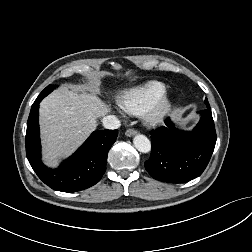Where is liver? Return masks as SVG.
<instances>
[{
  "label": "liver",
  "instance_id": "obj_1",
  "mask_svg": "<svg viewBox=\"0 0 252 252\" xmlns=\"http://www.w3.org/2000/svg\"><path fill=\"white\" fill-rule=\"evenodd\" d=\"M110 108L95 93L61 89L40 104V128L44 161L57 166L96 129L98 117Z\"/></svg>",
  "mask_w": 252,
  "mask_h": 252
}]
</instances>
